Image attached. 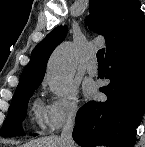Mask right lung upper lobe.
I'll return each instance as SVG.
<instances>
[{"label": "right lung upper lobe", "mask_w": 145, "mask_h": 147, "mask_svg": "<svg viewBox=\"0 0 145 147\" xmlns=\"http://www.w3.org/2000/svg\"><path fill=\"white\" fill-rule=\"evenodd\" d=\"M138 0H89L90 15L87 25L104 36L106 55L124 39L145 24ZM67 26L51 31L32 51L30 62L24 68L18 89L39 86L44 78L48 58L66 37Z\"/></svg>", "instance_id": "1"}]
</instances>
